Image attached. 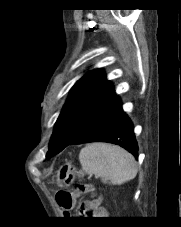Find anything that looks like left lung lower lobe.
Returning a JSON list of instances; mask_svg holds the SVG:
<instances>
[{
    "mask_svg": "<svg viewBox=\"0 0 181 227\" xmlns=\"http://www.w3.org/2000/svg\"><path fill=\"white\" fill-rule=\"evenodd\" d=\"M89 142L117 144L138 158L132 122L122 111L120 99L115 93L92 114L83 130L70 144Z\"/></svg>",
    "mask_w": 181,
    "mask_h": 227,
    "instance_id": "left-lung-lower-lobe-1",
    "label": "left lung lower lobe"
}]
</instances>
